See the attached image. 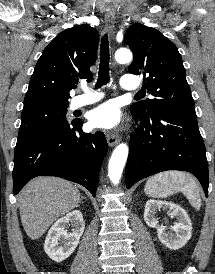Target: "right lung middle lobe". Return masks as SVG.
Returning a JSON list of instances; mask_svg holds the SVG:
<instances>
[{
  "mask_svg": "<svg viewBox=\"0 0 215 274\" xmlns=\"http://www.w3.org/2000/svg\"><path fill=\"white\" fill-rule=\"evenodd\" d=\"M67 108L68 104L48 103L23 109L15 151L36 137L69 124L65 117Z\"/></svg>",
  "mask_w": 215,
  "mask_h": 274,
  "instance_id": "dd1d6c3e",
  "label": "right lung middle lobe"
}]
</instances>
